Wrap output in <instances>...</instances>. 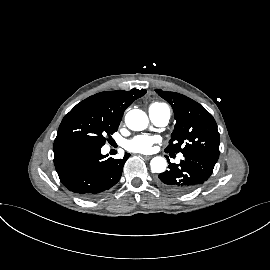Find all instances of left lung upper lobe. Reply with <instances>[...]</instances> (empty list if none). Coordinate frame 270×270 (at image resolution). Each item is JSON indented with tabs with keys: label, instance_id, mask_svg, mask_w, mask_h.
I'll list each match as a JSON object with an SVG mask.
<instances>
[{
	"label": "left lung upper lobe",
	"instance_id": "left-lung-upper-lobe-1",
	"mask_svg": "<svg viewBox=\"0 0 270 270\" xmlns=\"http://www.w3.org/2000/svg\"><path fill=\"white\" fill-rule=\"evenodd\" d=\"M171 104L176 125L166 152L195 153L214 160L219 158V132L212 115L199 103L176 93L156 89Z\"/></svg>",
	"mask_w": 270,
	"mask_h": 270
}]
</instances>
